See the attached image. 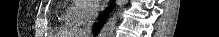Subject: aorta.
<instances>
[{"label":"aorta","instance_id":"obj_1","mask_svg":"<svg viewBox=\"0 0 219 37\" xmlns=\"http://www.w3.org/2000/svg\"><path fill=\"white\" fill-rule=\"evenodd\" d=\"M128 2V0H119L118 5L119 9L114 12L111 17L107 20L104 27L101 29L99 33V37H114V32L116 29V24L118 22L120 16V10L124 7V5Z\"/></svg>","mask_w":219,"mask_h":37}]
</instances>
